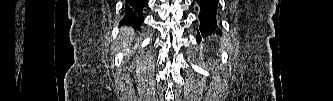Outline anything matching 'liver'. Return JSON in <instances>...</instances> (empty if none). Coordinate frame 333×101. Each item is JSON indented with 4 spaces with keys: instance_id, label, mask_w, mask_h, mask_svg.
Masks as SVG:
<instances>
[{
    "instance_id": "1",
    "label": "liver",
    "mask_w": 333,
    "mask_h": 101,
    "mask_svg": "<svg viewBox=\"0 0 333 101\" xmlns=\"http://www.w3.org/2000/svg\"><path fill=\"white\" fill-rule=\"evenodd\" d=\"M133 35H134V33L131 28H129V27L122 28L123 44L127 46L131 40L130 37H133Z\"/></svg>"
}]
</instances>
